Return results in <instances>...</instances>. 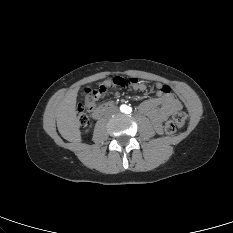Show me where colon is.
Here are the masks:
<instances>
[{
	"instance_id": "obj_1",
	"label": "colon",
	"mask_w": 233,
	"mask_h": 233,
	"mask_svg": "<svg viewBox=\"0 0 233 233\" xmlns=\"http://www.w3.org/2000/svg\"><path fill=\"white\" fill-rule=\"evenodd\" d=\"M136 81L137 79L135 78L115 77L113 80L107 81L93 90L87 89L85 92V102L83 104H79L78 106L79 122L82 125L87 124L88 118L86 115V110L92 109L95 103L105 96L109 88L132 86L136 83ZM186 121L187 115L184 112H177L166 122L164 130L167 134H173L179 128L183 127Z\"/></svg>"
}]
</instances>
